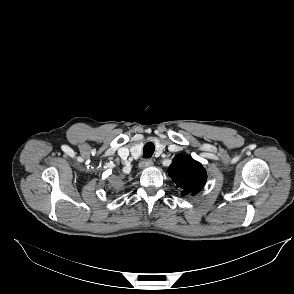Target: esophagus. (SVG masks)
<instances>
[{
  "instance_id": "esophagus-1",
  "label": "esophagus",
  "mask_w": 294,
  "mask_h": 294,
  "mask_svg": "<svg viewBox=\"0 0 294 294\" xmlns=\"http://www.w3.org/2000/svg\"><path fill=\"white\" fill-rule=\"evenodd\" d=\"M153 165V161L151 159H144L140 162V168H147Z\"/></svg>"
}]
</instances>
